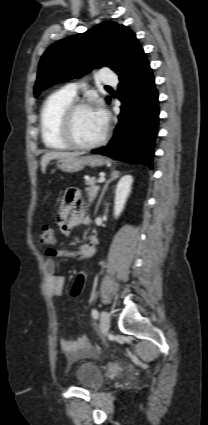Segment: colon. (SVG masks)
Instances as JSON below:
<instances>
[{"mask_svg": "<svg viewBox=\"0 0 208 425\" xmlns=\"http://www.w3.org/2000/svg\"><path fill=\"white\" fill-rule=\"evenodd\" d=\"M39 240L42 244L51 246L56 242V231L51 225H44L41 229ZM89 275L86 273L79 274L71 288V295L74 297L80 296L87 286Z\"/></svg>", "mask_w": 208, "mask_h": 425, "instance_id": "5ec220e1", "label": "colon"}]
</instances>
